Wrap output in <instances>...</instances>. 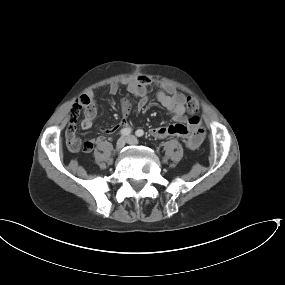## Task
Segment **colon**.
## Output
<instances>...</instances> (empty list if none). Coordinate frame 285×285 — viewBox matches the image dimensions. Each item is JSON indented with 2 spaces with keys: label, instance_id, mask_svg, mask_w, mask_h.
Here are the masks:
<instances>
[{
  "label": "colon",
  "instance_id": "obj_1",
  "mask_svg": "<svg viewBox=\"0 0 285 285\" xmlns=\"http://www.w3.org/2000/svg\"><path fill=\"white\" fill-rule=\"evenodd\" d=\"M91 102L92 100L87 94H83L76 99L73 107L70 110L71 122L69 124V128H71L75 121L80 117L83 110L91 105ZM187 108L191 114H195L198 111V105L192 98L188 101ZM73 139L77 145V148H81L83 146L84 142L82 140L76 138L75 136H73Z\"/></svg>",
  "mask_w": 285,
  "mask_h": 285
}]
</instances>
